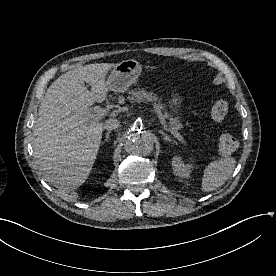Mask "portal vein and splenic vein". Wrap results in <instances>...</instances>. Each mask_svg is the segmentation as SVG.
<instances>
[{"label":"portal vein and splenic vein","instance_id":"portal-vein-and-splenic-vein-1","mask_svg":"<svg viewBox=\"0 0 276 276\" xmlns=\"http://www.w3.org/2000/svg\"><path fill=\"white\" fill-rule=\"evenodd\" d=\"M108 113L107 109L101 108L100 106H95L93 109V114H90L89 118L91 120L99 121L103 117H105ZM161 122L164 123V119L160 116ZM164 126L167 128V125L164 124ZM168 130L179 140L184 141L183 137L178 133V131L174 128H168Z\"/></svg>","mask_w":276,"mask_h":276}]
</instances>
